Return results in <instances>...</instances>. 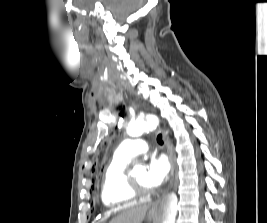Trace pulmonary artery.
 <instances>
[{
  "mask_svg": "<svg viewBox=\"0 0 267 223\" xmlns=\"http://www.w3.org/2000/svg\"><path fill=\"white\" fill-rule=\"evenodd\" d=\"M148 144L139 139L131 138L123 141L116 149L115 154L122 158L131 159L138 154L148 151Z\"/></svg>",
  "mask_w": 267,
  "mask_h": 223,
  "instance_id": "pulmonary-artery-1",
  "label": "pulmonary artery"
}]
</instances>
